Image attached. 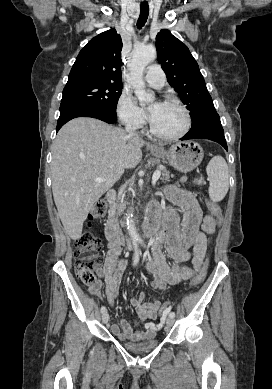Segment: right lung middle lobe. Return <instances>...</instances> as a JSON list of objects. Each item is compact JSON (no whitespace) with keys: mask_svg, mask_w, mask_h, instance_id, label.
<instances>
[{"mask_svg":"<svg viewBox=\"0 0 272 389\" xmlns=\"http://www.w3.org/2000/svg\"><path fill=\"white\" fill-rule=\"evenodd\" d=\"M123 85L107 81H78L66 84L62 102H86L116 113Z\"/></svg>","mask_w":272,"mask_h":389,"instance_id":"obj_1","label":"right lung middle lobe"}]
</instances>
